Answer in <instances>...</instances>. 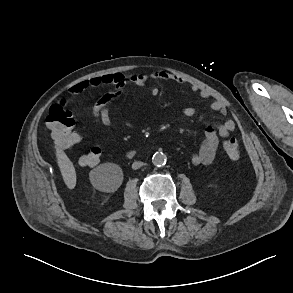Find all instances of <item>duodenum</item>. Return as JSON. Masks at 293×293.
<instances>
[{
    "mask_svg": "<svg viewBox=\"0 0 293 293\" xmlns=\"http://www.w3.org/2000/svg\"><path fill=\"white\" fill-rule=\"evenodd\" d=\"M135 155H136V151L135 150H130L126 154L127 158H133Z\"/></svg>",
    "mask_w": 293,
    "mask_h": 293,
    "instance_id": "duodenum-1",
    "label": "duodenum"
}]
</instances>
